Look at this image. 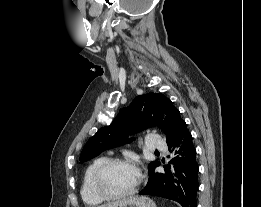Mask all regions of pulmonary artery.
I'll return each mask as SVG.
<instances>
[{
  "mask_svg": "<svg viewBox=\"0 0 261 207\" xmlns=\"http://www.w3.org/2000/svg\"><path fill=\"white\" fill-rule=\"evenodd\" d=\"M148 148L150 150H165V142L156 134H150L148 136Z\"/></svg>",
  "mask_w": 261,
  "mask_h": 207,
  "instance_id": "e3ab8cb5",
  "label": "pulmonary artery"
}]
</instances>
